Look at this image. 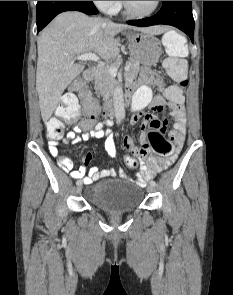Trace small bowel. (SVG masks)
I'll return each mask as SVG.
<instances>
[{
    "mask_svg": "<svg viewBox=\"0 0 233 295\" xmlns=\"http://www.w3.org/2000/svg\"><path fill=\"white\" fill-rule=\"evenodd\" d=\"M148 84L159 85L161 94L153 96ZM81 102L84 112H88L91 108H96V101L92 95L88 92L81 96ZM149 108L152 111L162 112L165 107L170 109L171 117L174 120L173 129L169 132V137L174 144V151L169 156L155 157L148 155L149 147L145 143V131L147 127L154 130L165 132L168 125V120L161 122L154 114H146L143 116V110ZM141 129L139 134L140 147L134 144L131 137L126 136L124 138V146L132 152L138 153L140 148L143 147L145 151L139 155L140 157V170L137 174L136 183L144 186L150 179L163 170L169 168L177 157V153L180 151L184 144L186 134V118L184 111V97L183 94L178 96H171L166 87L161 85L158 75L150 69H143L141 73V85L138 87L135 97L133 99V112L131 115V122L137 123L142 119ZM113 125L112 120L104 119L103 121L94 122L83 118L74 128L69 131L66 137L63 139L64 143L71 142L76 145L83 141H88L91 138H105V150L112 158L116 157V146L113 135L108 129ZM49 152L57 159L59 166L67 171H71V176L74 178H83L85 184H90L100 178L114 177L116 171L112 168L100 170L97 167H91L87 176L86 168L89 165L92 154L86 153L82 159V166L78 170L72 171L74 164L71 158L65 155H61L58 152V144L56 141H49ZM120 177H125L124 173L120 170Z\"/></svg>",
    "mask_w": 233,
    "mask_h": 295,
    "instance_id": "obj_1",
    "label": "small bowel"
}]
</instances>
